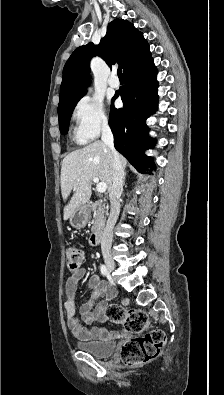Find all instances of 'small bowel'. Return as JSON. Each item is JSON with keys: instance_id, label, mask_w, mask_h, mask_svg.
<instances>
[{"instance_id": "1", "label": "small bowel", "mask_w": 224, "mask_h": 395, "mask_svg": "<svg viewBox=\"0 0 224 395\" xmlns=\"http://www.w3.org/2000/svg\"><path fill=\"white\" fill-rule=\"evenodd\" d=\"M85 274V268H80L66 281L63 306L67 319V327L71 334L78 340L103 339L108 337L105 330L99 327H87L86 325H92L94 322H104L106 320L108 301L114 297L116 291L99 276H91L88 281L90 296L80 306L79 315H77L75 302L80 281L84 278ZM104 297L105 299H103Z\"/></svg>"}]
</instances>
